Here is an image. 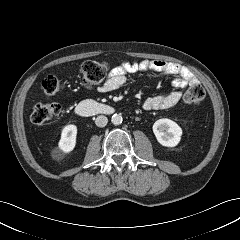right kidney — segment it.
<instances>
[{"label": "right kidney", "mask_w": 240, "mask_h": 240, "mask_svg": "<svg viewBox=\"0 0 240 240\" xmlns=\"http://www.w3.org/2000/svg\"><path fill=\"white\" fill-rule=\"evenodd\" d=\"M77 127L76 125H66L61 133V139L58 143L59 151L70 153L76 145Z\"/></svg>", "instance_id": "ca27d5eb"}]
</instances>
